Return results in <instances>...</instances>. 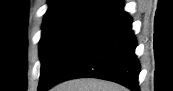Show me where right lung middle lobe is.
<instances>
[{"instance_id":"1","label":"right lung middle lobe","mask_w":173,"mask_h":91,"mask_svg":"<svg viewBox=\"0 0 173 91\" xmlns=\"http://www.w3.org/2000/svg\"><path fill=\"white\" fill-rule=\"evenodd\" d=\"M102 5L110 7L114 3L112 0H104ZM84 24L85 22L82 21H66L43 25V34L39 45L41 60L39 83L48 78L68 44Z\"/></svg>"}]
</instances>
